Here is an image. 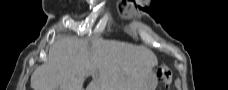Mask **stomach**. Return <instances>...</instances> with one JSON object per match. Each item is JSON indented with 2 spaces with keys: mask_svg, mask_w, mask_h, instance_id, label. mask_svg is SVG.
<instances>
[{
  "mask_svg": "<svg viewBox=\"0 0 228 90\" xmlns=\"http://www.w3.org/2000/svg\"><path fill=\"white\" fill-rule=\"evenodd\" d=\"M156 75L151 74L148 84L145 86L144 90H153V86L156 83Z\"/></svg>",
  "mask_w": 228,
  "mask_h": 90,
  "instance_id": "stomach-1",
  "label": "stomach"
}]
</instances>
